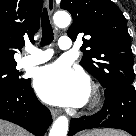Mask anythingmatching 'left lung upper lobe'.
Returning a JSON list of instances; mask_svg holds the SVG:
<instances>
[{
	"label": "left lung upper lobe",
	"mask_w": 136,
	"mask_h": 136,
	"mask_svg": "<svg viewBox=\"0 0 136 136\" xmlns=\"http://www.w3.org/2000/svg\"><path fill=\"white\" fill-rule=\"evenodd\" d=\"M60 7L68 10L73 23L67 31L75 41L81 33L80 64L104 88L134 81L131 37L121 10L110 0H61Z\"/></svg>",
	"instance_id": "5c2ea615"
}]
</instances>
